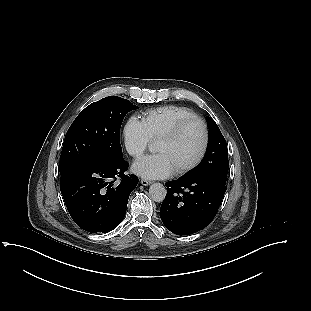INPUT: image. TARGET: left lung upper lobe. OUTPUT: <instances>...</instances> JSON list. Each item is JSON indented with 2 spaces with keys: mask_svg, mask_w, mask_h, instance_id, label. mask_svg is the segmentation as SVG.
I'll list each match as a JSON object with an SVG mask.
<instances>
[{
  "mask_svg": "<svg viewBox=\"0 0 311 311\" xmlns=\"http://www.w3.org/2000/svg\"><path fill=\"white\" fill-rule=\"evenodd\" d=\"M209 128L208 146L202 162L189 174L183 177H212L226 183L229 167L226 141L211 117H207Z\"/></svg>",
  "mask_w": 311,
  "mask_h": 311,
  "instance_id": "obj_1",
  "label": "left lung upper lobe"
}]
</instances>
